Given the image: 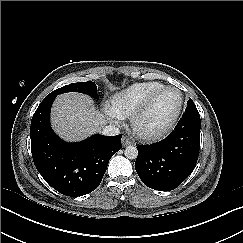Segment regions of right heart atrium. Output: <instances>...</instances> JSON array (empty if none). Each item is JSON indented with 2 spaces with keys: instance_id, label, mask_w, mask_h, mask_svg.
I'll list each match as a JSON object with an SVG mask.
<instances>
[{
  "instance_id": "d8ad5b80",
  "label": "right heart atrium",
  "mask_w": 243,
  "mask_h": 243,
  "mask_svg": "<svg viewBox=\"0 0 243 243\" xmlns=\"http://www.w3.org/2000/svg\"><path fill=\"white\" fill-rule=\"evenodd\" d=\"M106 113H107V116H108L110 122H112V123H117V122L119 121L120 116H118V115H117L116 113H114L113 111L108 110Z\"/></svg>"
}]
</instances>
